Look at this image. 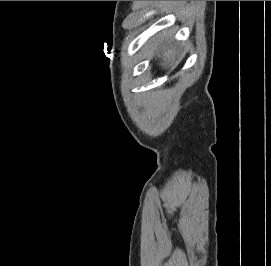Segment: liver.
Segmentation results:
<instances>
[{
	"mask_svg": "<svg viewBox=\"0 0 271 266\" xmlns=\"http://www.w3.org/2000/svg\"><path fill=\"white\" fill-rule=\"evenodd\" d=\"M164 60L165 61H171L172 62V60H174V55H172V51H168V52H166L165 53V55H164Z\"/></svg>",
	"mask_w": 271,
	"mask_h": 266,
	"instance_id": "liver-1",
	"label": "liver"
}]
</instances>
